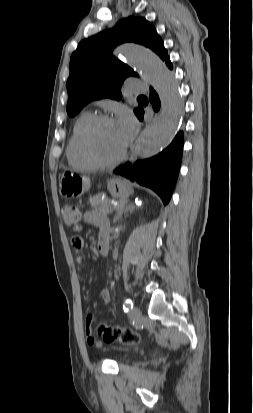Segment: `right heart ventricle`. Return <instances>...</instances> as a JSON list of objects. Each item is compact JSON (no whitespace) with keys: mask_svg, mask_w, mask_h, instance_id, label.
I'll use <instances>...</instances> for the list:
<instances>
[{"mask_svg":"<svg viewBox=\"0 0 253 413\" xmlns=\"http://www.w3.org/2000/svg\"><path fill=\"white\" fill-rule=\"evenodd\" d=\"M92 117L88 111L81 113L75 120L66 146V157L71 166L82 169H93V165L84 155L80 145V135L84 125Z\"/></svg>","mask_w":253,"mask_h":413,"instance_id":"obj_1","label":"right heart ventricle"}]
</instances>
